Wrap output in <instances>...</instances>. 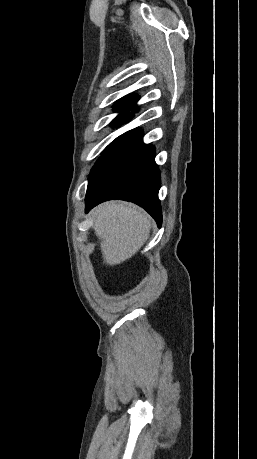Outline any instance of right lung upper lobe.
<instances>
[{
	"instance_id": "cb5924a9",
	"label": "right lung upper lobe",
	"mask_w": 257,
	"mask_h": 459,
	"mask_svg": "<svg viewBox=\"0 0 257 459\" xmlns=\"http://www.w3.org/2000/svg\"><path fill=\"white\" fill-rule=\"evenodd\" d=\"M138 98L139 97L136 95L125 97L123 99L118 100L116 104L114 105V107L118 108L117 110L133 109L135 107L136 102L138 101ZM123 112H127V111H123Z\"/></svg>"
}]
</instances>
